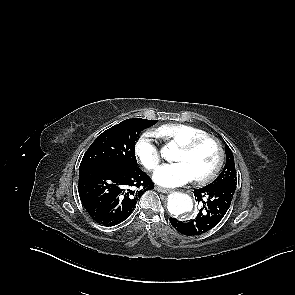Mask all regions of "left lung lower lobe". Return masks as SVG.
Wrapping results in <instances>:
<instances>
[{
    "instance_id": "1",
    "label": "left lung lower lobe",
    "mask_w": 295,
    "mask_h": 295,
    "mask_svg": "<svg viewBox=\"0 0 295 295\" xmlns=\"http://www.w3.org/2000/svg\"><path fill=\"white\" fill-rule=\"evenodd\" d=\"M236 186L232 184L207 185L195 189L194 195L202 208L195 219L181 222L170 218L172 226L184 235H201L214 228L230 207Z\"/></svg>"
}]
</instances>
